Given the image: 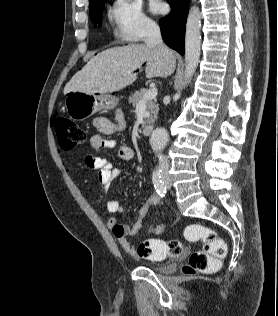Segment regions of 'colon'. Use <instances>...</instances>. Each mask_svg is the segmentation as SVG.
<instances>
[{
	"label": "colon",
	"instance_id": "obj_1",
	"mask_svg": "<svg viewBox=\"0 0 278 316\" xmlns=\"http://www.w3.org/2000/svg\"><path fill=\"white\" fill-rule=\"evenodd\" d=\"M54 129L59 147L63 150L73 149L85 143L87 139L83 128L64 117L54 120ZM184 235L190 241L202 242L201 249L189 256L183 267L184 274H207L216 271L226 255V245L217 233L209 227L192 224L185 228ZM137 252L141 257L149 259L175 258L182 254V244L176 239H148L139 244Z\"/></svg>",
	"mask_w": 278,
	"mask_h": 316
}]
</instances>
